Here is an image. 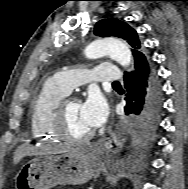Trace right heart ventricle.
Returning a JSON list of instances; mask_svg holds the SVG:
<instances>
[{
	"mask_svg": "<svg viewBox=\"0 0 188 189\" xmlns=\"http://www.w3.org/2000/svg\"><path fill=\"white\" fill-rule=\"evenodd\" d=\"M69 93L54 78L46 80L30 108V128L37 141L57 142L52 128V115L63 97Z\"/></svg>",
	"mask_w": 188,
	"mask_h": 189,
	"instance_id": "right-heart-ventricle-1",
	"label": "right heart ventricle"
}]
</instances>
